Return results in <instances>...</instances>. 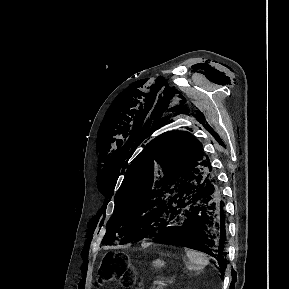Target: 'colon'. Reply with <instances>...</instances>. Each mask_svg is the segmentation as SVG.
I'll list each match as a JSON object with an SVG mask.
<instances>
[{
    "label": "colon",
    "mask_w": 289,
    "mask_h": 289,
    "mask_svg": "<svg viewBox=\"0 0 289 289\" xmlns=\"http://www.w3.org/2000/svg\"><path fill=\"white\" fill-rule=\"evenodd\" d=\"M99 284L114 283L121 287H130L134 283V273L120 260L115 253H107L102 266L98 270Z\"/></svg>",
    "instance_id": "obj_1"
}]
</instances>
